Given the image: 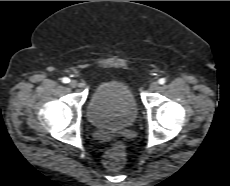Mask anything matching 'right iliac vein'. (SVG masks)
Returning a JSON list of instances; mask_svg holds the SVG:
<instances>
[{
  "instance_id": "right-iliac-vein-1",
  "label": "right iliac vein",
  "mask_w": 230,
  "mask_h": 186,
  "mask_svg": "<svg viewBox=\"0 0 230 186\" xmlns=\"http://www.w3.org/2000/svg\"><path fill=\"white\" fill-rule=\"evenodd\" d=\"M69 84H70V86L73 87V88H74V87H77V86L79 85L78 82H77L76 80H71Z\"/></svg>"
}]
</instances>
